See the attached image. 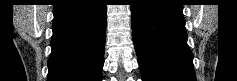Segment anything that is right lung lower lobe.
<instances>
[{
    "instance_id": "98d812e1",
    "label": "right lung lower lobe",
    "mask_w": 237,
    "mask_h": 81,
    "mask_svg": "<svg viewBox=\"0 0 237 81\" xmlns=\"http://www.w3.org/2000/svg\"><path fill=\"white\" fill-rule=\"evenodd\" d=\"M53 14L48 81H101L106 5L101 0H60Z\"/></svg>"
}]
</instances>
